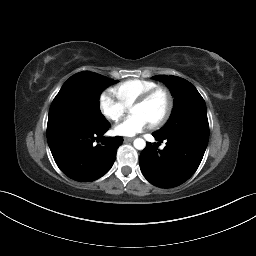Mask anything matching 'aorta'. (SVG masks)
I'll return each mask as SVG.
<instances>
[{
  "instance_id": "aorta-1",
  "label": "aorta",
  "mask_w": 256,
  "mask_h": 256,
  "mask_svg": "<svg viewBox=\"0 0 256 256\" xmlns=\"http://www.w3.org/2000/svg\"><path fill=\"white\" fill-rule=\"evenodd\" d=\"M133 145L137 150H143L146 146V142L142 138H136L133 142Z\"/></svg>"
}]
</instances>
